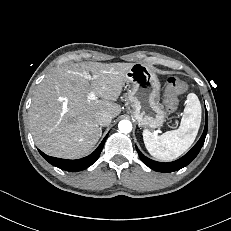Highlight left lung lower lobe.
Here are the masks:
<instances>
[{
    "label": "left lung lower lobe",
    "instance_id": "0a47b994",
    "mask_svg": "<svg viewBox=\"0 0 231 231\" xmlns=\"http://www.w3.org/2000/svg\"><path fill=\"white\" fill-rule=\"evenodd\" d=\"M206 109V107H205ZM207 128H208V121H207V110H206V123H205V128L202 136L198 140V142L195 144V146L188 152L186 153L183 157H181L178 160H175L173 162H157L152 159H149L148 157L144 156L140 150L136 147L137 152L139 154L140 159L142 162L147 165L149 168L158 171V172H163V173H169L173 171H177L185 166H187L199 153L201 147L204 144L205 137L207 134Z\"/></svg>",
    "mask_w": 231,
    "mask_h": 231
}]
</instances>
